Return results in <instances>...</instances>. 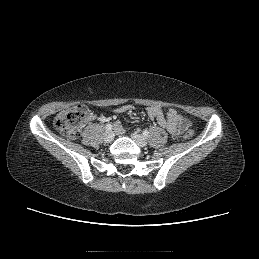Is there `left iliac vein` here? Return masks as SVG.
<instances>
[{
    "instance_id": "left-iliac-vein-1",
    "label": "left iliac vein",
    "mask_w": 259,
    "mask_h": 259,
    "mask_svg": "<svg viewBox=\"0 0 259 259\" xmlns=\"http://www.w3.org/2000/svg\"><path fill=\"white\" fill-rule=\"evenodd\" d=\"M131 137L138 146L145 147L147 145V140L144 136L137 133H132Z\"/></svg>"
}]
</instances>
